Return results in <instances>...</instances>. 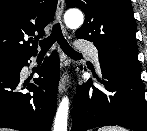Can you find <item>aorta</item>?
Masks as SVG:
<instances>
[{
	"label": "aorta",
	"mask_w": 147,
	"mask_h": 131,
	"mask_svg": "<svg viewBox=\"0 0 147 131\" xmlns=\"http://www.w3.org/2000/svg\"><path fill=\"white\" fill-rule=\"evenodd\" d=\"M64 20L68 27L77 28L83 24L84 17L81 11L71 9L65 13ZM68 111L69 99L64 97L56 112L53 131H67Z\"/></svg>",
	"instance_id": "762f6f07"
}]
</instances>
